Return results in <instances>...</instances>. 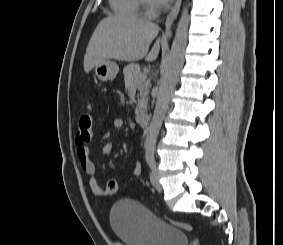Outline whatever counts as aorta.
<instances>
[{"mask_svg": "<svg viewBox=\"0 0 283 245\" xmlns=\"http://www.w3.org/2000/svg\"><path fill=\"white\" fill-rule=\"evenodd\" d=\"M188 8L185 7L179 19L175 37L172 43L171 52L167 65L159 85V93L152 120L147 128L145 150L153 151L156 145L157 136L166 115L173 88L178 80L183 67L185 49L188 36Z\"/></svg>", "mask_w": 283, "mask_h": 245, "instance_id": "aorta-1", "label": "aorta"}]
</instances>
